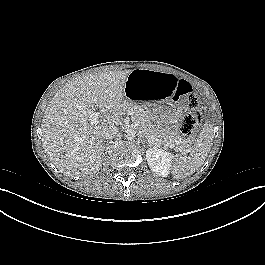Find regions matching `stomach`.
I'll list each match as a JSON object with an SVG mask.
<instances>
[{"instance_id":"1","label":"stomach","mask_w":265,"mask_h":265,"mask_svg":"<svg viewBox=\"0 0 265 265\" xmlns=\"http://www.w3.org/2000/svg\"><path fill=\"white\" fill-rule=\"evenodd\" d=\"M176 77L167 72L135 69L128 75L124 95L127 100L139 101L136 118L142 133L150 140H167L175 123L170 98Z\"/></svg>"}]
</instances>
